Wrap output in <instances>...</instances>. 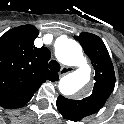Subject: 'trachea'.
Listing matches in <instances>:
<instances>
[{"instance_id":"obj_1","label":"trachea","mask_w":124,"mask_h":124,"mask_svg":"<svg viewBox=\"0 0 124 124\" xmlns=\"http://www.w3.org/2000/svg\"><path fill=\"white\" fill-rule=\"evenodd\" d=\"M48 66H49V69L53 72L60 71V64L56 60H51Z\"/></svg>"}]
</instances>
